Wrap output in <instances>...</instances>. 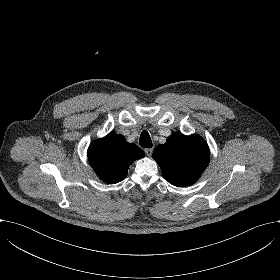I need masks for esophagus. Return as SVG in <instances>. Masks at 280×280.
<instances>
[{
	"label": "esophagus",
	"mask_w": 280,
	"mask_h": 280,
	"mask_svg": "<svg viewBox=\"0 0 280 280\" xmlns=\"http://www.w3.org/2000/svg\"><path fill=\"white\" fill-rule=\"evenodd\" d=\"M144 151H145V154H146L148 157H151V156H152V152H153V149H152V148H146Z\"/></svg>",
	"instance_id": "1"
}]
</instances>
